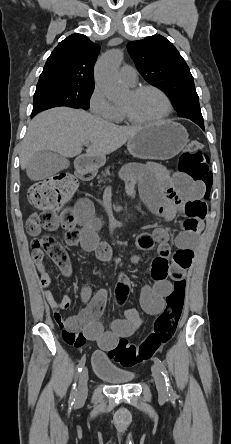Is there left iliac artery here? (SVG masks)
I'll use <instances>...</instances> for the list:
<instances>
[{
	"instance_id": "44dca946",
	"label": "left iliac artery",
	"mask_w": 231,
	"mask_h": 444,
	"mask_svg": "<svg viewBox=\"0 0 231 444\" xmlns=\"http://www.w3.org/2000/svg\"><path fill=\"white\" fill-rule=\"evenodd\" d=\"M153 360H154L155 364L161 370L162 375L165 377L167 392L169 393V395H174V391H173L170 379L168 377V372H167L164 364L162 363V361L158 357H154Z\"/></svg>"
}]
</instances>
